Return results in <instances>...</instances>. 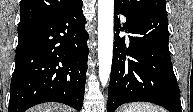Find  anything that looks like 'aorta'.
<instances>
[{
  "label": "aorta",
  "instance_id": "1",
  "mask_svg": "<svg viewBox=\"0 0 193 112\" xmlns=\"http://www.w3.org/2000/svg\"><path fill=\"white\" fill-rule=\"evenodd\" d=\"M114 0H98L99 79L106 86L113 56Z\"/></svg>",
  "mask_w": 193,
  "mask_h": 112
}]
</instances>
